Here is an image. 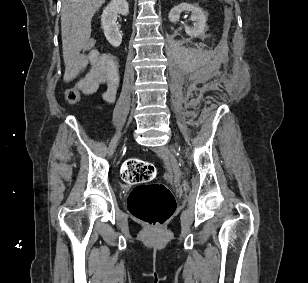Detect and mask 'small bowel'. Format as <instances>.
<instances>
[{"label":"small bowel","instance_id":"obj_1","mask_svg":"<svg viewBox=\"0 0 308 283\" xmlns=\"http://www.w3.org/2000/svg\"><path fill=\"white\" fill-rule=\"evenodd\" d=\"M86 73L77 81V85L86 94L95 93L101 84L106 86L103 99L113 102L116 98L119 78L118 66L113 56L96 50L87 54H78L67 67V77L76 79L81 73Z\"/></svg>","mask_w":308,"mask_h":283}]
</instances>
